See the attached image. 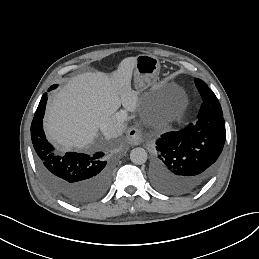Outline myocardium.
<instances>
[{
  "label": "myocardium",
  "mask_w": 259,
  "mask_h": 259,
  "mask_svg": "<svg viewBox=\"0 0 259 259\" xmlns=\"http://www.w3.org/2000/svg\"><path fill=\"white\" fill-rule=\"evenodd\" d=\"M158 94H159V93H158ZM158 94H157L154 98L151 99L155 105H156L157 102L159 101V100H158Z\"/></svg>",
  "instance_id": "f54148a6"
}]
</instances>
